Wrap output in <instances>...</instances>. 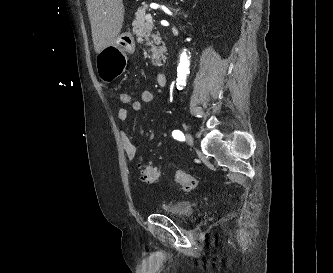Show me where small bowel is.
Wrapping results in <instances>:
<instances>
[{
  "label": "small bowel",
  "mask_w": 333,
  "mask_h": 273,
  "mask_svg": "<svg viewBox=\"0 0 333 273\" xmlns=\"http://www.w3.org/2000/svg\"><path fill=\"white\" fill-rule=\"evenodd\" d=\"M153 101V93L150 90H143L140 94V100L130 101L131 109L135 113H139L143 109L144 104H149ZM117 118L120 121H126L129 117V112L126 108L120 107L117 109ZM122 145L126 154V158L130 162H134L137 159V150L132 143L131 137L126 130L121 131Z\"/></svg>",
  "instance_id": "small-bowel-1"
}]
</instances>
